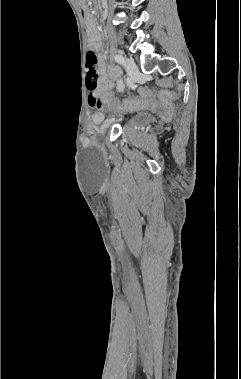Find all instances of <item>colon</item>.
Returning a JSON list of instances; mask_svg holds the SVG:
<instances>
[{
  "instance_id": "1",
  "label": "colon",
  "mask_w": 241,
  "mask_h": 379,
  "mask_svg": "<svg viewBox=\"0 0 241 379\" xmlns=\"http://www.w3.org/2000/svg\"><path fill=\"white\" fill-rule=\"evenodd\" d=\"M99 80L98 61L96 54L90 50L86 54V85L90 83H97ZM115 94L113 87H107L102 91V101L109 103L111 101L110 96ZM115 102H120L122 105H126L127 109H147L148 107L158 108L161 113L169 117L172 114V110L175 109V104L171 103L169 97H156L155 94H150L149 90H142L139 98H120L115 97Z\"/></svg>"
}]
</instances>
